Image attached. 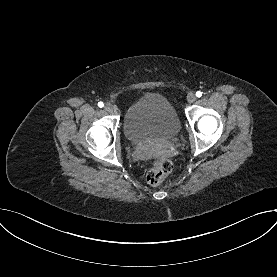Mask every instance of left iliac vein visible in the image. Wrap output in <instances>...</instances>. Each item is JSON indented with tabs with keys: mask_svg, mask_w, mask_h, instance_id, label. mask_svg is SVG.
Returning a JSON list of instances; mask_svg holds the SVG:
<instances>
[{
	"mask_svg": "<svg viewBox=\"0 0 277 277\" xmlns=\"http://www.w3.org/2000/svg\"><path fill=\"white\" fill-rule=\"evenodd\" d=\"M187 101H188V103H194L196 101V95L194 93L190 92L187 95Z\"/></svg>",
	"mask_w": 277,
	"mask_h": 277,
	"instance_id": "1",
	"label": "left iliac vein"
}]
</instances>
